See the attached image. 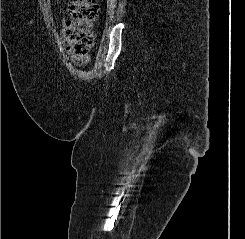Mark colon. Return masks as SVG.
<instances>
[{"instance_id": "5ec220e1", "label": "colon", "mask_w": 245, "mask_h": 239, "mask_svg": "<svg viewBox=\"0 0 245 239\" xmlns=\"http://www.w3.org/2000/svg\"><path fill=\"white\" fill-rule=\"evenodd\" d=\"M96 0H69L68 14L64 38L68 48L78 57L89 56L94 44L93 23L99 15Z\"/></svg>"}]
</instances>
